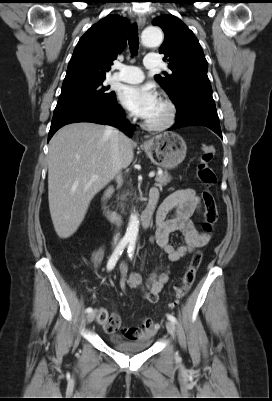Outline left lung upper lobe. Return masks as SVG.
I'll return each instance as SVG.
<instances>
[{
    "label": "left lung upper lobe",
    "instance_id": "1",
    "mask_svg": "<svg viewBox=\"0 0 272 401\" xmlns=\"http://www.w3.org/2000/svg\"><path fill=\"white\" fill-rule=\"evenodd\" d=\"M165 33L159 53L169 63V73L155 75L176 108L191 99H210L212 88L207 76L208 63L193 32L177 17L162 15L153 20Z\"/></svg>",
    "mask_w": 272,
    "mask_h": 401
}]
</instances>
